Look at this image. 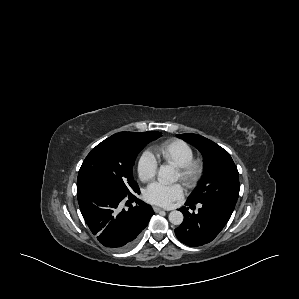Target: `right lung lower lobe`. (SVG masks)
<instances>
[{"label":"right lung lower lobe","instance_id":"98d812e1","mask_svg":"<svg viewBox=\"0 0 299 299\" xmlns=\"http://www.w3.org/2000/svg\"><path fill=\"white\" fill-rule=\"evenodd\" d=\"M134 193H124L96 180L77 184V197L82 216L91 232L105 247L126 250L136 241L154 212L150 205L137 199ZM130 199L136 205L121 209ZM128 202V201H127Z\"/></svg>","mask_w":299,"mask_h":299}]
</instances>
